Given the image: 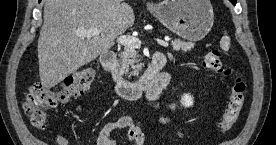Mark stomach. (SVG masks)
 <instances>
[{
    "label": "stomach",
    "mask_w": 276,
    "mask_h": 145,
    "mask_svg": "<svg viewBox=\"0 0 276 145\" xmlns=\"http://www.w3.org/2000/svg\"><path fill=\"white\" fill-rule=\"evenodd\" d=\"M149 10L165 27L188 41L203 39L214 23L209 0H163Z\"/></svg>",
    "instance_id": "0dacf381"
}]
</instances>
